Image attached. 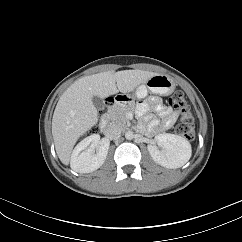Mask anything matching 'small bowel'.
Listing matches in <instances>:
<instances>
[{"label": "small bowel", "mask_w": 242, "mask_h": 242, "mask_svg": "<svg viewBox=\"0 0 242 242\" xmlns=\"http://www.w3.org/2000/svg\"><path fill=\"white\" fill-rule=\"evenodd\" d=\"M155 103V110L160 116V120L147 115L148 106L145 103H140L136 109L137 115L147 122V129L151 133H157L169 129L178 118V113L173 109L162 105L158 101Z\"/></svg>", "instance_id": "obj_1"}]
</instances>
